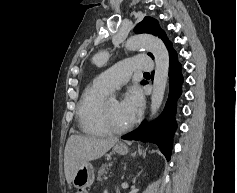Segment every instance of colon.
<instances>
[{"instance_id":"5ec220e1","label":"colon","mask_w":237,"mask_h":193,"mask_svg":"<svg viewBox=\"0 0 237 193\" xmlns=\"http://www.w3.org/2000/svg\"><path fill=\"white\" fill-rule=\"evenodd\" d=\"M73 193H87L84 189H77Z\"/></svg>"}]
</instances>
